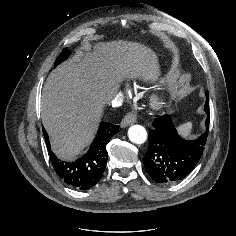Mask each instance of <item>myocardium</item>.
Segmentation results:
<instances>
[{"mask_svg": "<svg viewBox=\"0 0 236 236\" xmlns=\"http://www.w3.org/2000/svg\"><path fill=\"white\" fill-rule=\"evenodd\" d=\"M151 102L155 108L161 107L163 104L162 99L159 96H153Z\"/></svg>", "mask_w": 236, "mask_h": 236, "instance_id": "f54148a6", "label": "myocardium"}]
</instances>
